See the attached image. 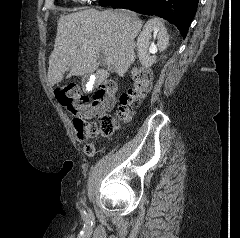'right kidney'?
I'll list each match as a JSON object with an SVG mask.
<instances>
[{
  "instance_id": "1",
  "label": "right kidney",
  "mask_w": 240,
  "mask_h": 238,
  "mask_svg": "<svg viewBox=\"0 0 240 238\" xmlns=\"http://www.w3.org/2000/svg\"><path fill=\"white\" fill-rule=\"evenodd\" d=\"M152 32L158 33L157 47H149V41L152 37ZM169 44V35L163 24L158 18L150 19L144 26L143 31L137 39L138 56L141 65L145 68L151 67L156 62V56H150L149 53L155 54L157 48L160 52L164 51ZM149 50V52H148Z\"/></svg>"
}]
</instances>
